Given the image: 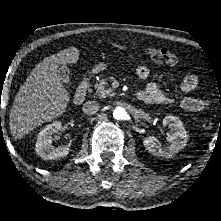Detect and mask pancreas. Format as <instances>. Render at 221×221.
<instances>
[{
	"instance_id": "obj_1",
	"label": "pancreas",
	"mask_w": 221,
	"mask_h": 221,
	"mask_svg": "<svg viewBox=\"0 0 221 221\" xmlns=\"http://www.w3.org/2000/svg\"><path fill=\"white\" fill-rule=\"evenodd\" d=\"M107 81L102 79L98 84L95 85L96 95L100 98H106L107 96H114L113 90L111 88H106Z\"/></svg>"
}]
</instances>
